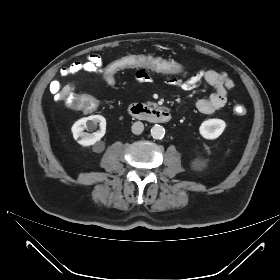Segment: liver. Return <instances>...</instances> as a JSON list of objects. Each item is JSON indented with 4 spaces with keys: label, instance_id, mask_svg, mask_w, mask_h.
<instances>
[{
    "label": "liver",
    "instance_id": "liver-1",
    "mask_svg": "<svg viewBox=\"0 0 280 280\" xmlns=\"http://www.w3.org/2000/svg\"><path fill=\"white\" fill-rule=\"evenodd\" d=\"M71 91V85L68 84L66 86L63 87V89L60 92V96L61 98L65 97L66 95H68Z\"/></svg>",
    "mask_w": 280,
    "mask_h": 280
}]
</instances>
